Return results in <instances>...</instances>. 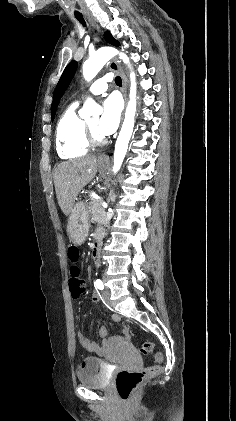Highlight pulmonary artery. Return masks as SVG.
Segmentation results:
<instances>
[{
	"label": "pulmonary artery",
	"instance_id": "1",
	"mask_svg": "<svg viewBox=\"0 0 236 421\" xmlns=\"http://www.w3.org/2000/svg\"><path fill=\"white\" fill-rule=\"evenodd\" d=\"M112 80L111 74H106L99 78L89 89V93L93 95L100 94L107 90L109 82Z\"/></svg>",
	"mask_w": 236,
	"mask_h": 421
}]
</instances>
